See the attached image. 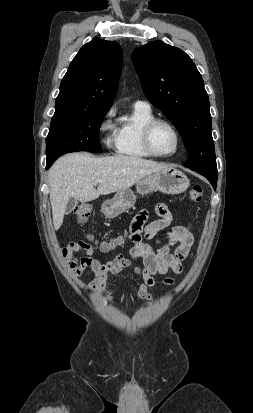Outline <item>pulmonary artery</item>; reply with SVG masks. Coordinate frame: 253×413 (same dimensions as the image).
<instances>
[{"instance_id":"e3ab8cb5","label":"pulmonary artery","mask_w":253,"mask_h":413,"mask_svg":"<svg viewBox=\"0 0 253 413\" xmlns=\"http://www.w3.org/2000/svg\"><path fill=\"white\" fill-rule=\"evenodd\" d=\"M134 105L144 108H150V103L146 100H137Z\"/></svg>"}]
</instances>
